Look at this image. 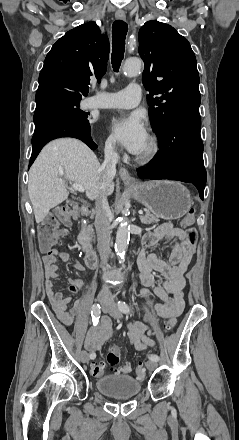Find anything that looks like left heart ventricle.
<instances>
[{"label":"left heart ventricle","instance_id":"b2bd125f","mask_svg":"<svg viewBox=\"0 0 239 440\" xmlns=\"http://www.w3.org/2000/svg\"><path fill=\"white\" fill-rule=\"evenodd\" d=\"M147 145H148V140H147V142H146V144H145V146H144L142 152L145 151V149L147 148Z\"/></svg>","mask_w":239,"mask_h":440}]
</instances>
